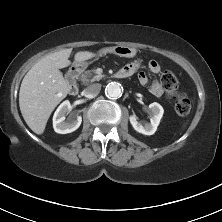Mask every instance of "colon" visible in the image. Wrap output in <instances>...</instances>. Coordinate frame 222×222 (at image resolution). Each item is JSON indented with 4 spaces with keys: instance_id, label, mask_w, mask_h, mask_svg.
Returning a JSON list of instances; mask_svg holds the SVG:
<instances>
[{
    "instance_id": "colon-1",
    "label": "colon",
    "mask_w": 222,
    "mask_h": 222,
    "mask_svg": "<svg viewBox=\"0 0 222 222\" xmlns=\"http://www.w3.org/2000/svg\"><path fill=\"white\" fill-rule=\"evenodd\" d=\"M160 84L166 96L175 104V111L179 116H186L191 109V103L186 94L178 91V81L171 70H164L160 76Z\"/></svg>"
}]
</instances>
